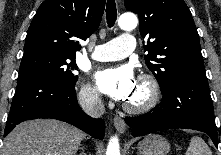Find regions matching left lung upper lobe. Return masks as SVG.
I'll return each mask as SVG.
<instances>
[{"mask_svg": "<svg viewBox=\"0 0 221 155\" xmlns=\"http://www.w3.org/2000/svg\"><path fill=\"white\" fill-rule=\"evenodd\" d=\"M138 14L140 34L148 38L145 61L162 94L174 81L191 74H205L199 35L183 0H125Z\"/></svg>", "mask_w": 221, "mask_h": 155, "instance_id": "obj_1", "label": "left lung upper lobe"}]
</instances>
